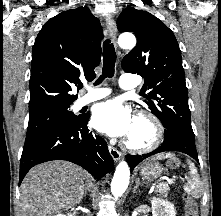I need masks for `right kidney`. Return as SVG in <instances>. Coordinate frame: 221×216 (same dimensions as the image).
<instances>
[{
	"label": "right kidney",
	"mask_w": 221,
	"mask_h": 216,
	"mask_svg": "<svg viewBox=\"0 0 221 216\" xmlns=\"http://www.w3.org/2000/svg\"><path fill=\"white\" fill-rule=\"evenodd\" d=\"M75 214V213H74ZM56 216H67V215H64V214H58V215H56ZM68 216H75V215H73V214H68Z\"/></svg>",
	"instance_id": "ca27d5eb"
}]
</instances>
